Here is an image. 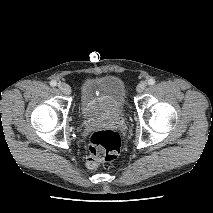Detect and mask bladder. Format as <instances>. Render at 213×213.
<instances>
[{
    "label": "bladder",
    "instance_id": "obj_1",
    "mask_svg": "<svg viewBox=\"0 0 213 213\" xmlns=\"http://www.w3.org/2000/svg\"><path fill=\"white\" fill-rule=\"evenodd\" d=\"M126 102L124 82L116 76L86 80L80 88V111L88 120L118 115Z\"/></svg>",
    "mask_w": 213,
    "mask_h": 213
}]
</instances>
